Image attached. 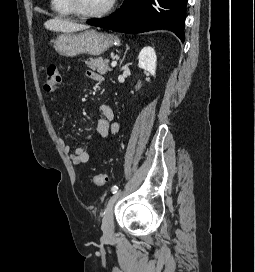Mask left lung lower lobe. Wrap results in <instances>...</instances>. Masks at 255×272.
I'll return each mask as SVG.
<instances>
[{"label": "left lung lower lobe", "mask_w": 255, "mask_h": 272, "mask_svg": "<svg viewBox=\"0 0 255 272\" xmlns=\"http://www.w3.org/2000/svg\"><path fill=\"white\" fill-rule=\"evenodd\" d=\"M188 0H124L119 10L88 24L123 33H142L158 29L174 32L184 42Z\"/></svg>", "instance_id": "left-lung-lower-lobe-1"}]
</instances>
